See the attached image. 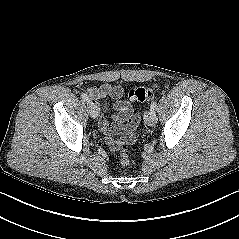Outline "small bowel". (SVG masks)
<instances>
[{
  "label": "small bowel",
  "mask_w": 239,
  "mask_h": 239,
  "mask_svg": "<svg viewBox=\"0 0 239 239\" xmlns=\"http://www.w3.org/2000/svg\"><path fill=\"white\" fill-rule=\"evenodd\" d=\"M87 93L96 101L99 109L101 110L102 115L99 121V127L105 136L107 143L111 147L118 146V142L115 140V137L119 135H125L130 142H134V130L138 125V121H134L136 116L133 115L130 104L126 101L120 100L123 95V88L119 85L105 83L99 87L88 88ZM105 98L114 100L112 107L101 101ZM112 109L116 111V114L114 115L116 123H111L109 121Z\"/></svg>",
  "instance_id": "obj_1"
}]
</instances>
